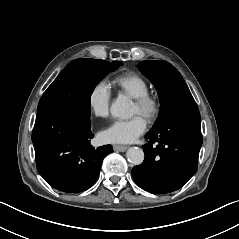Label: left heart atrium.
<instances>
[{"mask_svg": "<svg viewBox=\"0 0 239 239\" xmlns=\"http://www.w3.org/2000/svg\"><path fill=\"white\" fill-rule=\"evenodd\" d=\"M146 127V118L142 114L136 113L129 119L115 120L101 132L100 136L107 143H131L143 134Z\"/></svg>", "mask_w": 239, "mask_h": 239, "instance_id": "1", "label": "left heart atrium"}]
</instances>
